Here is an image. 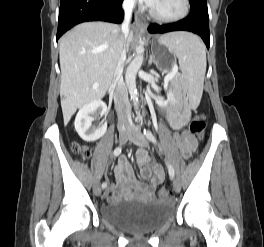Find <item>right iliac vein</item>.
<instances>
[{
    "instance_id": "63e3f726",
    "label": "right iliac vein",
    "mask_w": 264,
    "mask_h": 247,
    "mask_svg": "<svg viewBox=\"0 0 264 247\" xmlns=\"http://www.w3.org/2000/svg\"><path fill=\"white\" fill-rule=\"evenodd\" d=\"M128 137H129V129H125V130H122L120 131L119 133V143L121 145L125 144L128 140ZM94 193L96 196H100L101 195V187L100 185L97 183L95 186H94Z\"/></svg>"
}]
</instances>
